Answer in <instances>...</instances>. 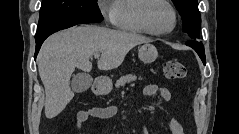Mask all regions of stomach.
<instances>
[{
    "label": "stomach",
    "mask_w": 239,
    "mask_h": 134,
    "mask_svg": "<svg viewBox=\"0 0 239 134\" xmlns=\"http://www.w3.org/2000/svg\"><path fill=\"white\" fill-rule=\"evenodd\" d=\"M138 55L140 60L145 64H150L158 57V52L153 44L145 43L139 48ZM112 89V82L108 78H103L100 84V90L104 93L110 92Z\"/></svg>",
    "instance_id": "stomach-1"
}]
</instances>
